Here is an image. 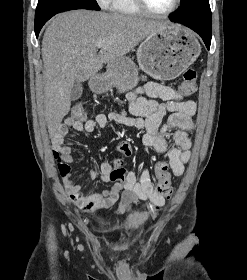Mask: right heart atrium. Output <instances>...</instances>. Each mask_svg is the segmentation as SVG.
Instances as JSON below:
<instances>
[{
	"label": "right heart atrium",
	"mask_w": 247,
	"mask_h": 280,
	"mask_svg": "<svg viewBox=\"0 0 247 280\" xmlns=\"http://www.w3.org/2000/svg\"><path fill=\"white\" fill-rule=\"evenodd\" d=\"M96 1L101 7H107L110 3V0H96Z\"/></svg>",
	"instance_id": "obj_1"
}]
</instances>
